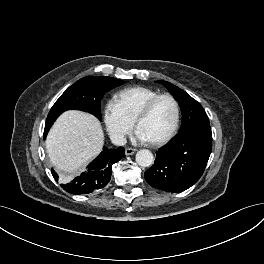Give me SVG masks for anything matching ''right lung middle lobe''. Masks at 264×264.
Instances as JSON below:
<instances>
[{"instance_id":"1","label":"right lung middle lobe","mask_w":264,"mask_h":264,"mask_svg":"<svg viewBox=\"0 0 264 264\" xmlns=\"http://www.w3.org/2000/svg\"><path fill=\"white\" fill-rule=\"evenodd\" d=\"M123 83L122 80L102 76H87L78 80L55 102L48 114L44 131L50 129L61 113L70 109L86 111L100 119L102 97L106 92Z\"/></svg>"}]
</instances>
